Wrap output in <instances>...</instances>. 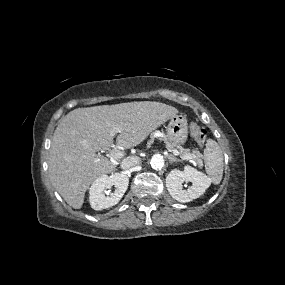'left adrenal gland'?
<instances>
[{
  "mask_svg": "<svg viewBox=\"0 0 285 285\" xmlns=\"http://www.w3.org/2000/svg\"><path fill=\"white\" fill-rule=\"evenodd\" d=\"M167 157H168L170 163H173V162H180V160L177 159V158H176L175 156H173V155H168Z\"/></svg>",
  "mask_w": 285,
  "mask_h": 285,
  "instance_id": "left-adrenal-gland-1",
  "label": "left adrenal gland"
}]
</instances>
